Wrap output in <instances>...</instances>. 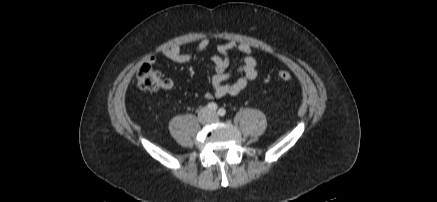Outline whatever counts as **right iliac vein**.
<instances>
[{"instance_id":"1","label":"right iliac vein","mask_w":437,"mask_h":202,"mask_svg":"<svg viewBox=\"0 0 437 202\" xmlns=\"http://www.w3.org/2000/svg\"><path fill=\"white\" fill-rule=\"evenodd\" d=\"M199 119L202 122L207 121V119H208V110L207 109L204 108L199 112Z\"/></svg>"}]
</instances>
